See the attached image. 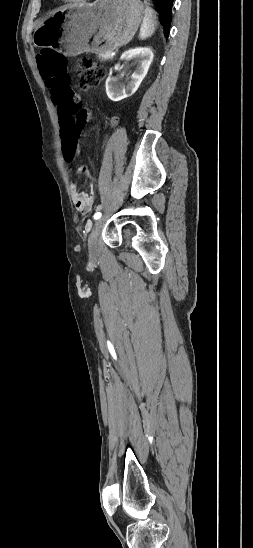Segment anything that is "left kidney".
<instances>
[{
    "instance_id": "5707ae66",
    "label": "left kidney",
    "mask_w": 253,
    "mask_h": 548,
    "mask_svg": "<svg viewBox=\"0 0 253 548\" xmlns=\"http://www.w3.org/2000/svg\"><path fill=\"white\" fill-rule=\"evenodd\" d=\"M153 57L154 54L148 47H138L123 53L120 59L122 61L134 59L136 70L131 75L128 83L125 85L118 83V80L112 76V69H110L109 76L105 83L106 93L109 99L112 101H120L132 96L145 78Z\"/></svg>"
}]
</instances>
